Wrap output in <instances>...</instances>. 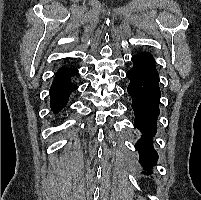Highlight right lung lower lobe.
I'll return each mask as SVG.
<instances>
[{
    "instance_id": "1",
    "label": "right lung lower lobe",
    "mask_w": 201,
    "mask_h": 200,
    "mask_svg": "<svg viewBox=\"0 0 201 200\" xmlns=\"http://www.w3.org/2000/svg\"><path fill=\"white\" fill-rule=\"evenodd\" d=\"M77 69L68 68L58 71L50 87V106L57 114L68 102L70 94L77 86L71 82V77L77 74Z\"/></svg>"
}]
</instances>
